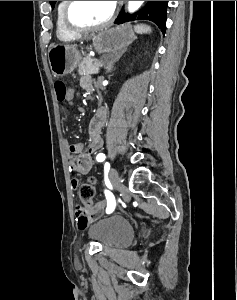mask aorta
<instances>
[{
  "label": "aorta",
  "mask_w": 237,
  "mask_h": 300,
  "mask_svg": "<svg viewBox=\"0 0 237 300\" xmlns=\"http://www.w3.org/2000/svg\"><path fill=\"white\" fill-rule=\"evenodd\" d=\"M144 1H128V11L129 13H135L143 5Z\"/></svg>",
  "instance_id": "1"
}]
</instances>
